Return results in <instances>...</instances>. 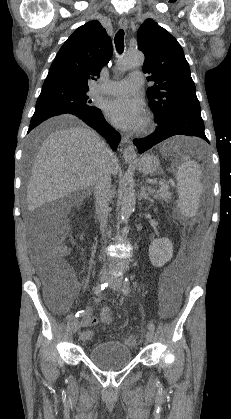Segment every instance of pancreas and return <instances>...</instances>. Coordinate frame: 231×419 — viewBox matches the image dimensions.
Wrapping results in <instances>:
<instances>
[{"label": "pancreas", "mask_w": 231, "mask_h": 419, "mask_svg": "<svg viewBox=\"0 0 231 419\" xmlns=\"http://www.w3.org/2000/svg\"><path fill=\"white\" fill-rule=\"evenodd\" d=\"M170 197H171V193L168 191V189H163V188L158 190L156 195H155V199H157V200L162 199L166 202H168L170 200Z\"/></svg>", "instance_id": "1"}]
</instances>
